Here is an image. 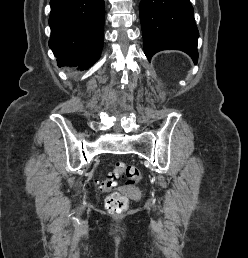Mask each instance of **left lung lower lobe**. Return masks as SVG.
Masks as SVG:
<instances>
[{
	"mask_svg": "<svg viewBox=\"0 0 248 258\" xmlns=\"http://www.w3.org/2000/svg\"><path fill=\"white\" fill-rule=\"evenodd\" d=\"M190 0H142L139 5L144 52L148 60L161 50H181L198 60V29Z\"/></svg>",
	"mask_w": 248,
	"mask_h": 258,
	"instance_id": "0a47b994",
	"label": "left lung lower lobe"
}]
</instances>
